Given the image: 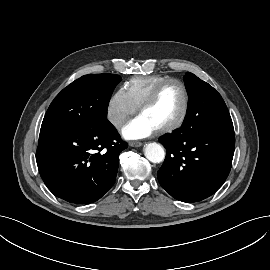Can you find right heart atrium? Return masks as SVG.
Segmentation results:
<instances>
[{
    "mask_svg": "<svg viewBox=\"0 0 270 270\" xmlns=\"http://www.w3.org/2000/svg\"><path fill=\"white\" fill-rule=\"evenodd\" d=\"M136 111L137 107L127 93L123 89H117L108 99L106 118L115 129H120Z\"/></svg>",
    "mask_w": 270,
    "mask_h": 270,
    "instance_id": "d8ad5b80",
    "label": "right heart atrium"
}]
</instances>
